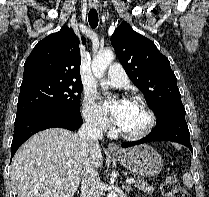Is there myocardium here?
<instances>
[{"mask_svg": "<svg viewBox=\"0 0 209 197\" xmlns=\"http://www.w3.org/2000/svg\"><path fill=\"white\" fill-rule=\"evenodd\" d=\"M132 101L138 102L141 104V106L144 108V110L147 113L148 116V122L146 126L135 133H130L122 130L120 127L117 128V133L128 140H140L145 138L147 135L150 134V132L153 130L156 124V115L154 111L151 109V107L148 105L147 101L141 97V96H134L132 97Z\"/></svg>", "mask_w": 209, "mask_h": 197, "instance_id": "myocardium-1", "label": "myocardium"}]
</instances>
